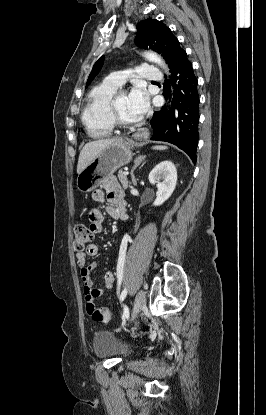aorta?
<instances>
[{"mask_svg":"<svg viewBox=\"0 0 266 415\" xmlns=\"http://www.w3.org/2000/svg\"><path fill=\"white\" fill-rule=\"evenodd\" d=\"M145 57L149 61L154 62V63L158 64L159 66H161L166 72L168 71L165 62L156 53H154V52H146L145 53Z\"/></svg>","mask_w":266,"mask_h":415,"instance_id":"aorta-1","label":"aorta"}]
</instances>
